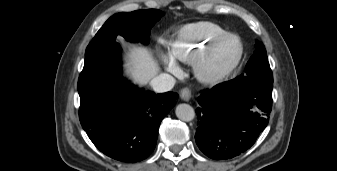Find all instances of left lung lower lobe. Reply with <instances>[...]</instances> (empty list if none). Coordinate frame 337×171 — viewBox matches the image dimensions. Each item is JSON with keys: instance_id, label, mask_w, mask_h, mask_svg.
Listing matches in <instances>:
<instances>
[{"instance_id": "0a47b994", "label": "left lung lower lobe", "mask_w": 337, "mask_h": 171, "mask_svg": "<svg viewBox=\"0 0 337 171\" xmlns=\"http://www.w3.org/2000/svg\"><path fill=\"white\" fill-rule=\"evenodd\" d=\"M273 79L242 76L201 92L195 140L215 160L234 158L256 141L272 109Z\"/></svg>"}]
</instances>
